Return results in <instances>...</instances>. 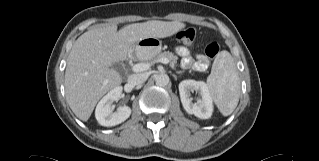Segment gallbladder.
<instances>
[{"instance_id": "obj_1", "label": "gallbladder", "mask_w": 319, "mask_h": 161, "mask_svg": "<svg viewBox=\"0 0 319 161\" xmlns=\"http://www.w3.org/2000/svg\"><path fill=\"white\" fill-rule=\"evenodd\" d=\"M112 68L117 70L119 73H122L123 66L121 63H115L112 65Z\"/></svg>"}]
</instances>
